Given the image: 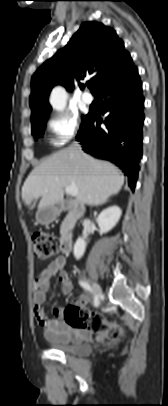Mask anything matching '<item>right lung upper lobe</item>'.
Wrapping results in <instances>:
<instances>
[{"mask_svg": "<svg viewBox=\"0 0 168 406\" xmlns=\"http://www.w3.org/2000/svg\"><path fill=\"white\" fill-rule=\"evenodd\" d=\"M133 66L123 41L112 28L99 22H84L68 44L43 63L32 76V124L50 113L48 96L56 84L71 90L73 76L81 80L92 75L94 92L97 93ZM79 85L84 88L83 84Z\"/></svg>", "mask_w": 168, "mask_h": 406, "instance_id": "obj_1", "label": "right lung upper lobe"}]
</instances>
